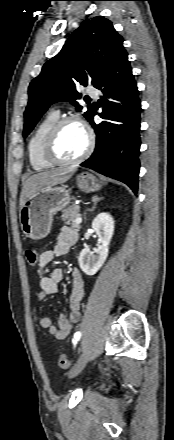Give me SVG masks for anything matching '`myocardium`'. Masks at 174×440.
Wrapping results in <instances>:
<instances>
[{
	"instance_id": "myocardium-1",
	"label": "myocardium",
	"mask_w": 174,
	"mask_h": 440,
	"mask_svg": "<svg viewBox=\"0 0 174 440\" xmlns=\"http://www.w3.org/2000/svg\"><path fill=\"white\" fill-rule=\"evenodd\" d=\"M71 122L79 124L84 129L87 135V145L84 151L78 157L71 160H65L58 156L56 151V142L58 135L61 129L63 128V126ZM94 143H95V139L93 132L80 117L75 115L66 116L58 119L57 122L51 127L50 131L48 132L44 144V156L53 165H58V166L75 165L82 162L87 157H89V155L93 151Z\"/></svg>"
}]
</instances>
